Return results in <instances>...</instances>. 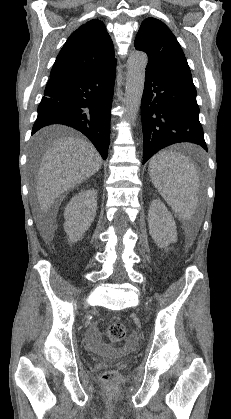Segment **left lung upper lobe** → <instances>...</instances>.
I'll list each match as a JSON object with an SVG mask.
<instances>
[{
	"label": "left lung upper lobe",
	"mask_w": 231,
	"mask_h": 419,
	"mask_svg": "<svg viewBox=\"0 0 231 419\" xmlns=\"http://www.w3.org/2000/svg\"><path fill=\"white\" fill-rule=\"evenodd\" d=\"M135 48L147 53L146 71L192 80L183 50L171 30L160 20L145 19L135 39Z\"/></svg>",
	"instance_id": "left-lung-upper-lobe-1"
}]
</instances>
